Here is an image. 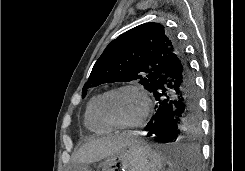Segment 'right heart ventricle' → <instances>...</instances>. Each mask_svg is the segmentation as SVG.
<instances>
[{
	"instance_id": "e07e8e85",
	"label": "right heart ventricle",
	"mask_w": 245,
	"mask_h": 171,
	"mask_svg": "<svg viewBox=\"0 0 245 171\" xmlns=\"http://www.w3.org/2000/svg\"><path fill=\"white\" fill-rule=\"evenodd\" d=\"M101 95L102 94H97L89 100L84 115V124L86 128L97 134L108 133L112 130L110 126L101 120L98 114V102Z\"/></svg>"
}]
</instances>
